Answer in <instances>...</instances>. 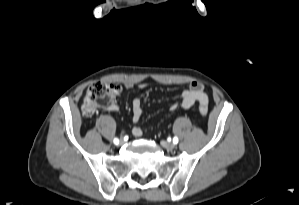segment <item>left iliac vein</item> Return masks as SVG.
<instances>
[{
    "mask_svg": "<svg viewBox=\"0 0 299 205\" xmlns=\"http://www.w3.org/2000/svg\"><path fill=\"white\" fill-rule=\"evenodd\" d=\"M161 146L166 150H172L175 148V144L172 142L161 141Z\"/></svg>",
    "mask_w": 299,
    "mask_h": 205,
    "instance_id": "left-iliac-vein-1",
    "label": "left iliac vein"
}]
</instances>
